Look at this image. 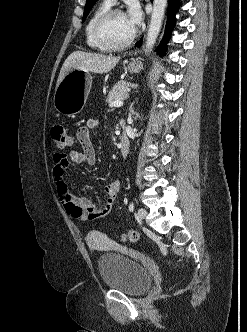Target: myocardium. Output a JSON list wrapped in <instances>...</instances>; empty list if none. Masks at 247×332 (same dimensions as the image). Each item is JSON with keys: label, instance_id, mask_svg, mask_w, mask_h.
I'll list each match as a JSON object with an SVG mask.
<instances>
[{"label": "myocardium", "instance_id": "1", "mask_svg": "<svg viewBox=\"0 0 247 332\" xmlns=\"http://www.w3.org/2000/svg\"><path fill=\"white\" fill-rule=\"evenodd\" d=\"M115 14H124V12L119 8H110L106 12H104L95 22L93 27V33L95 39L98 41L100 45H102L106 50H122L128 47L136 37V30L132 32V34L123 42L114 44L111 43L105 36V27L110 19Z\"/></svg>", "mask_w": 247, "mask_h": 332}]
</instances>
